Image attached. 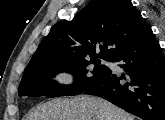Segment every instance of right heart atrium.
Here are the masks:
<instances>
[{
	"label": "right heart atrium",
	"mask_w": 165,
	"mask_h": 120,
	"mask_svg": "<svg viewBox=\"0 0 165 120\" xmlns=\"http://www.w3.org/2000/svg\"><path fill=\"white\" fill-rule=\"evenodd\" d=\"M61 80L66 81L67 80V77L66 76H62L61 77Z\"/></svg>",
	"instance_id": "right-heart-atrium-1"
}]
</instances>
